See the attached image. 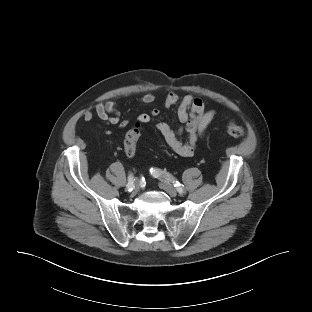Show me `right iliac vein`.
<instances>
[{
    "label": "right iliac vein",
    "mask_w": 312,
    "mask_h": 312,
    "mask_svg": "<svg viewBox=\"0 0 312 312\" xmlns=\"http://www.w3.org/2000/svg\"><path fill=\"white\" fill-rule=\"evenodd\" d=\"M138 189H139V183H138V181L136 180L135 183H134V190H133L132 194H133V195L136 194V192L138 191Z\"/></svg>",
    "instance_id": "1"
}]
</instances>
